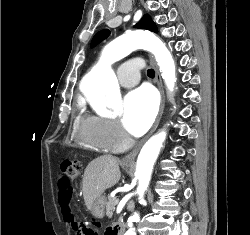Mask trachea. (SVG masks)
Returning a JSON list of instances; mask_svg holds the SVG:
<instances>
[{"mask_svg": "<svg viewBox=\"0 0 250 235\" xmlns=\"http://www.w3.org/2000/svg\"><path fill=\"white\" fill-rule=\"evenodd\" d=\"M147 75L150 76V77H154L155 76V71L153 69H149L147 71Z\"/></svg>", "mask_w": 250, "mask_h": 235, "instance_id": "3493384b", "label": "trachea"}]
</instances>
